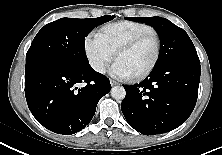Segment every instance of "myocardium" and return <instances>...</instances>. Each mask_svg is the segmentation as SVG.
<instances>
[{"label": "myocardium", "instance_id": "f54148a6", "mask_svg": "<svg viewBox=\"0 0 222 155\" xmlns=\"http://www.w3.org/2000/svg\"><path fill=\"white\" fill-rule=\"evenodd\" d=\"M150 36H153L156 40L155 58H154L153 62L151 63V65L147 69H145L143 72H141L137 75L132 76V79H134V80H142V79L146 78L154 71V69L158 65L160 57H161V53H162V41H161L160 35L158 34L157 31L142 33V34L136 36L135 38H133L132 40L128 41L127 43L123 44L122 46H120L116 51V58H118L122 53L132 50L138 44H140L142 41H144L146 38H148Z\"/></svg>", "mask_w": 222, "mask_h": 155}]
</instances>
